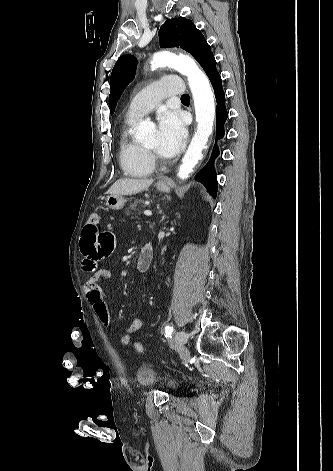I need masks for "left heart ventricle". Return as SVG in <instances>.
I'll return each mask as SVG.
<instances>
[{"mask_svg": "<svg viewBox=\"0 0 333 471\" xmlns=\"http://www.w3.org/2000/svg\"><path fill=\"white\" fill-rule=\"evenodd\" d=\"M157 145V134H153L152 137L145 143V146L156 150Z\"/></svg>", "mask_w": 333, "mask_h": 471, "instance_id": "obj_1", "label": "left heart ventricle"}]
</instances>
